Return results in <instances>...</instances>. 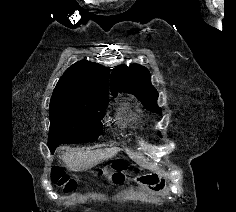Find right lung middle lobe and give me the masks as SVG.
Masks as SVG:
<instances>
[{"mask_svg":"<svg viewBox=\"0 0 236 212\" xmlns=\"http://www.w3.org/2000/svg\"><path fill=\"white\" fill-rule=\"evenodd\" d=\"M108 99L91 106L51 104L48 146L54 152L60 144L93 142L102 134Z\"/></svg>","mask_w":236,"mask_h":212,"instance_id":"1","label":"right lung middle lobe"}]
</instances>
